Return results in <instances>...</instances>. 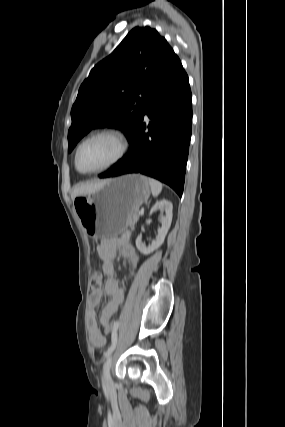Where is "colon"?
<instances>
[{"label": "colon", "mask_w": 285, "mask_h": 427, "mask_svg": "<svg viewBox=\"0 0 285 427\" xmlns=\"http://www.w3.org/2000/svg\"><path fill=\"white\" fill-rule=\"evenodd\" d=\"M103 278L102 275L99 272H93L90 280V287L92 290L100 289L102 286ZM117 325L115 324H109L106 326V333L107 334H113L116 330Z\"/></svg>", "instance_id": "colon-1"}]
</instances>
